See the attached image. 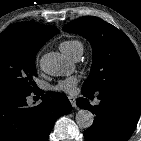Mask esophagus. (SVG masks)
<instances>
[{
	"instance_id": "esophagus-1",
	"label": "esophagus",
	"mask_w": 141,
	"mask_h": 141,
	"mask_svg": "<svg viewBox=\"0 0 141 141\" xmlns=\"http://www.w3.org/2000/svg\"><path fill=\"white\" fill-rule=\"evenodd\" d=\"M69 101L73 108H76V100L74 97H69Z\"/></svg>"
}]
</instances>
